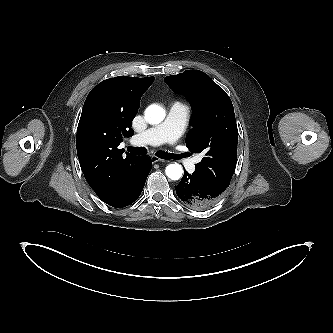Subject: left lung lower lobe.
Listing matches in <instances>:
<instances>
[{
	"label": "left lung lower lobe",
	"mask_w": 333,
	"mask_h": 333,
	"mask_svg": "<svg viewBox=\"0 0 333 333\" xmlns=\"http://www.w3.org/2000/svg\"><path fill=\"white\" fill-rule=\"evenodd\" d=\"M176 193L187 206L205 210L217 202L223 191L197 174L184 171L181 182L176 186Z\"/></svg>",
	"instance_id": "obj_1"
}]
</instances>
